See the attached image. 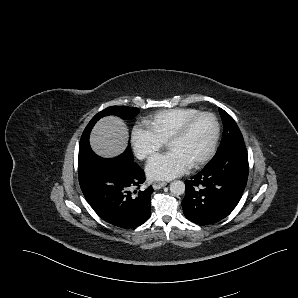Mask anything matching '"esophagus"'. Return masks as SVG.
Instances as JSON below:
<instances>
[{"label":"esophagus","mask_w":298,"mask_h":298,"mask_svg":"<svg viewBox=\"0 0 298 298\" xmlns=\"http://www.w3.org/2000/svg\"><path fill=\"white\" fill-rule=\"evenodd\" d=\"M166 182H162V181H154L152 186L154 189H161L162 187L166 186Z\"/></svg>","instance_id":"1"}]
</instances>
